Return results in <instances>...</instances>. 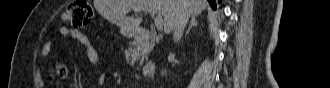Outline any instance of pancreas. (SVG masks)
I'll use <instances>...</instances> for the list:
<instances>
[{"label":"pancreas","mask_w":330,"mask_h":88,"mask_svg":"<svg viewBox=\"0 0 330 88\" xmlns=\"http://www.w3.org/2000/svg\"><path fill=\"white\" fill-rule=\"evenodd\" d=\"M154 44H155L154 40H152L150 42H148V41L144 42L140 48L135 49L133 51L132 58H136V59L144 58L148 54V52L151 51Z\"/></svg>","instance_id":"cf45deb5"}]
</instances>
